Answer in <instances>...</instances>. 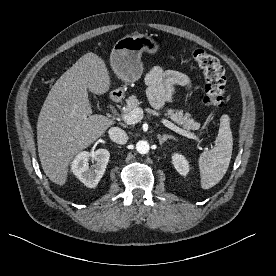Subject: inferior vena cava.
Masks as SVG:
<instances>
[{
	"mask_svg": "<svg viewBox=\"0 0 276 276\" xmlns=\"http://www.w3.org/2000/svg\"><path fill=\"white\" fill-rule=\"evenodd\" d=\"M110 139L117 144H125L128 136L124 130L119 127H112L108 131Z\"/></svg>",
	"mask_w": 276,
	"mask_h": 276,
	"instance_id": "inferior-vena-cava-1",
	"label": "inferior vena cava"
}]
</instances>
